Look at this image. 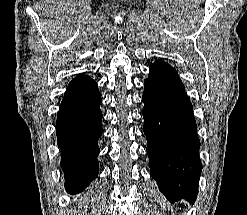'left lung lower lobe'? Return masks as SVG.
Masks as SVG:
<instances>
[{"instance_id":"left-lung-lower-lobe-1","label":"left lung lower lobe","mask_w":247,"mask_h":215,"mask_svg":"<svg viewBox=\"0 0 247 215\" xmlns=\"http://www.w3.org/2000/svg\"><path fill=\"white\" fill-rule=\"evenodd\" d=\"M142 101L151 176L171 202H194L202 171L200 141L192 104L168 63L150 65Z\"/></svg>"}]
</instances>
